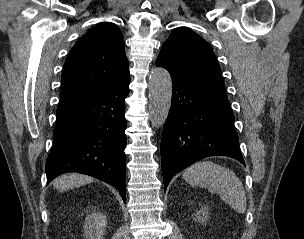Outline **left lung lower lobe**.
Instances as JSON below:
<instances>
[{
    "mask_svg": "<svg viewBox=\"0 0 304 239\" xmlns=\"http://www.w3.org/2000/svg\"><path fill=\"white\" fill-rule=\"evenodd\" d=\"M171 77L173 96L161 140L164 190L175 174L205 157L229 156L245 165L228 100Z\"/></svg>",
    "mask_w": 304,
    "mask_h": 239,
    "instance_id": "left-lung-lower-lobe-1",
    "label": "left lung lower lobe"
}]
</instances>
